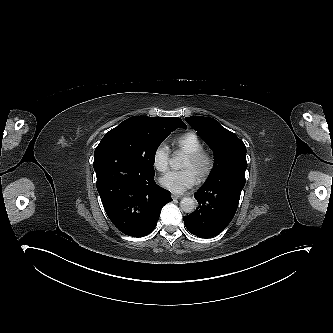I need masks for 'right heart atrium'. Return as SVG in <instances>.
<instances>
[{
  "mask_svg": "<svg viewBox=\"0 0 333 333\" xmlns=\"http://www.w3.org/2000/svg\"><path fill=\"white\" fill-rule=\"evenodd\" d=\"M170 160L166 149L160 147L156 151L155 166L158 170H166L169 167Z\"/></svg>",
  "mask_w": 333,
  "mask_h": 333,
  "instance_id": "1",
  "label": "right heart atrium"
}]
</instances>
